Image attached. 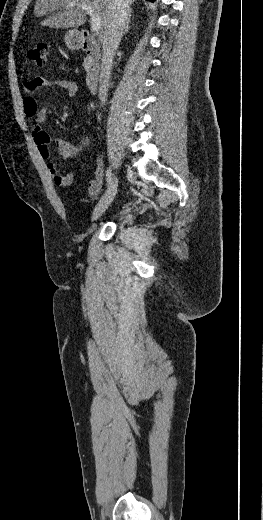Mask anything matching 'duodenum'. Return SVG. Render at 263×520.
Listing matches in <instances>:
<instances>
[{"label":"duodenum","mask_w":263,"mask_h":520,"mask_svg":"<svg viewBox=\"0 0 263 520\" xmlns=\"http://www.w3.org/2000/svg\"><path fill=\"white\" fill-rule=\"evenodd\" d=\"M80 45L81 49L87 53L89 58L85 75L86 86L91 93H96L100 76V47L87 31L82 32Z\"/></svg>","instance_id":"duodenum-1"}]
</instances>
